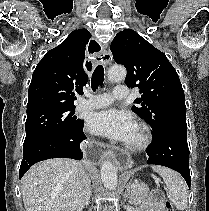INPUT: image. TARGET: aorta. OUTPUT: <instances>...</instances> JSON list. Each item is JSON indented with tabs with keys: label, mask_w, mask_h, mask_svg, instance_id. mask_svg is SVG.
<instances>
[{
	"label": "aorta",
	"mask_w": 209,
	"mask_h": 211,
	"mask_svg": "<svg viewBox=\"0 0 209 211\" xmlns=\"http://www.w3.org/2000/svg\"><path fill=\"white\" fill-rule=\"evenodd\" d=\"M126 69L123 66H112L108 71V80L111 82L123 81L126 77ZM101 179L106 189L115 190L117 187V169L110 161H104L101 165Z\"/></svg>",
	"instance_id": "obj_1"
}]
</instances>
